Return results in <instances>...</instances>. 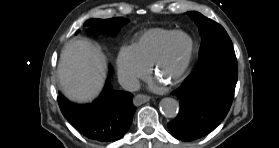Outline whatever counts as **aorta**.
I'll use <instances>...</instances> for the list:
<instances>
[{
    "instance_id": "762f6f07",
    "label": "aorta",
    "mask_w": 279,
    "mask_h": 148,
    "mask_svg": "<svg viewBox=\"0 0 279 148\" xmlns=\"http://www.w3.org/2000/svg\"><path fill=\"white\" fill-rule=\"evenodd\" d=\"M161 113L168 118H175L179 111V103L174 98H163L159 104Z\"/></svg>"
}]
</instances>
